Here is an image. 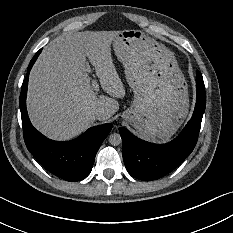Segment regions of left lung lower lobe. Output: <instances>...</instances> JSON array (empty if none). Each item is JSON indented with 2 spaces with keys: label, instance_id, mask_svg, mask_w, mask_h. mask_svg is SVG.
<instances>
[{
  "label": "left lung lower lobe",
  "instance_id": "left-lung-lower-lobe-1",
  "mask_svg": "<svg viewBox=\"0 0 233 233\" xmlns=\"http://www.w3.org/2000/svg\"><path fill=\"white\" fill-rule=\"evenodd\" d=\"M196 72L195 110L191 120L173 141L153 144L137 138L126 128H119L123 160L131 176L140 180H156L173 171L193 151L206 107L203 77L199 71Z\"/></svg>",
  "mask_w": 233,
  "mask_h": 233
}]
</instances>
